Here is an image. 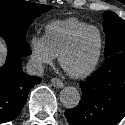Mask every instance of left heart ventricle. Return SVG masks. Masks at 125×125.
I'll return each instance as SVG.
<instances>
[{
	"mask_svg": "<svg viewBox=\"0 0 125 125\" xmlns=\"http://www.w3.org/2000/svg\"><path fill=\"white\" fill-rule=\"evenodd\" d=\"M99 48V35L95 30L83 32L64 58V66L70 72L86 69Z\"/></svg>",
	"mask_w": 125,
	"mask_h": 125,
	"instance_id": "obj_1",
	"label": "left heart ventricle"
}]
</instances>
